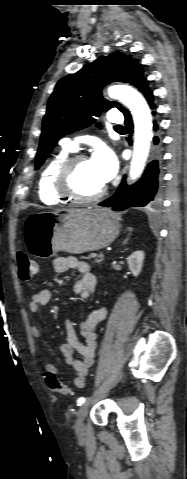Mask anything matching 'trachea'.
Wrapping results in <instances>:
<instances>
[{
    "instance_id": "1",
    "label": "trachea",
    "mask_w": 187,
    "mask_h": 479,
    "mask_svg": "<svg viewBox=\"0 0 187 479\" xmlns=\"http://www.w3.org/2000/svg\"><path fill=\"white\" fill-rule=\"evenodd\" d=\"M115 128H116V129H122V128H124V127H123V126H116Z\"/></svg>"
}]
</instances>
